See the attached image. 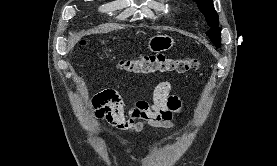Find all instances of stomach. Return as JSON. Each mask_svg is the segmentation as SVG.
<instances>
[{
  "instance_id": "stomach-1",
  "label": "stomach",
  "mask_w": 277,
  "mask_h": 166,
  "mask_svg": "<svg viewBox=\"0 0 277 166\" xmlns=\"http://www.w3.org/2000/svg\"><path fill=\"white\" fill-rule=\"evenodd\" d=\"M174 39L169 35H155L148 42V49L152 52H163L172 48Z\"/></svg>"
}]
</instances>
